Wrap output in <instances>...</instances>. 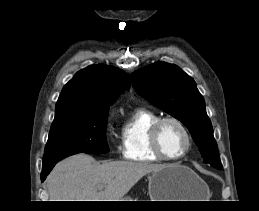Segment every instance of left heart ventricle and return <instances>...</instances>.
<instances>
[{
	"label": "left heart ventricle",
	"mask_w": 259,
	"mask_h": 211,
	"mask_svg": "<svg viewBox=\"0 0 259 211\" xmlns=\"http://www.w3.org/2000/svg\"><path fill=\"white\" fill-rule=\"evenodd\" d=\"M160 141L165 154L172 157L181 154L187 146L185 134L175 123H167L163 126Z\"/></svg>",
	"instance_id": "b2bd125f"
}]
</instances>
